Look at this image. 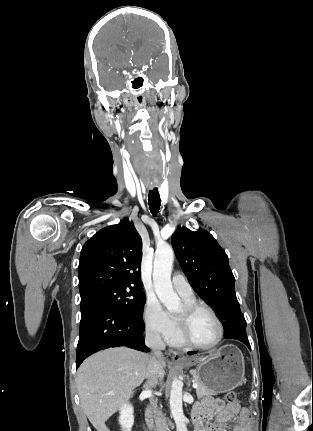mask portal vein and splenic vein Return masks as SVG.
Returning a JSON list of instances; mask_svg holds the SVG:
<instances>
[{"label": "portal vein and splenic vein", "mask_w": 313, "mask_h": 431, "mask_svg": "<svg viewBox=\"0 0 313 431\" xmlns=\"http://www.w3.org/2000/svg\"><path fill=\"white\" fill-rule=\"evenodd\" d=\"M193 388H198V384L196 382H193Z\"/></svg>", "instance_id": "18ae733b"}]
</instances>
